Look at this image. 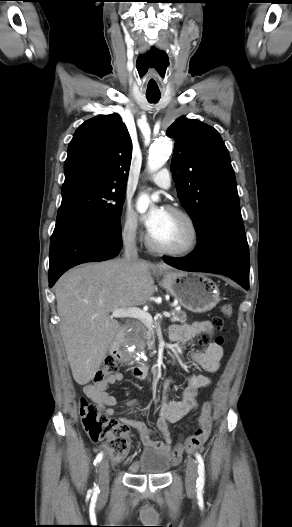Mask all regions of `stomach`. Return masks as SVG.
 Wrapping results in <instances>:
<instances>
[{
  "label": "stomach",
  "mask_w": 292,
  "mask_h": 527,
  "mask_svg": "<svg viewBox=\"0 0 292 527\" xmlns=\"http://www.w3.org/2000/svg\"><path fill=\"white\" fill-rule=\"evenodd\" d=\"M163 287L181 306L194 313L210 311L220 301L217 285L202 273L167 272Z\"/></svg>",
  "instance_id": "0dacf381"
}]
</instances>
